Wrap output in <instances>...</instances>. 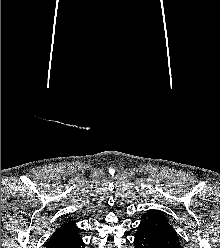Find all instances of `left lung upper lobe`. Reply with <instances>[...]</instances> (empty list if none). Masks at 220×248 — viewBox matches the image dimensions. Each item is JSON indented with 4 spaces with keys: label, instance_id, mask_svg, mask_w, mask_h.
I'll return each mask as SVG.
<instances>
[{
    "label": "left lung upper lobe",
    "instance_id": "1",
    "mask_svg": "<svg viewBox=\"0 0 220 248\" xmlns=\"http://www.w3.org/2000/svg\"><path fill=\"white\" fill-rule=\"evenodd\" d=\"M140 226L145 227L153 237L168 248H182L176 231L159 210L152 209L147 212Z\"/></svg>",
    "mask_w": 220,
    "mask_h": 248
}]
</instances>
